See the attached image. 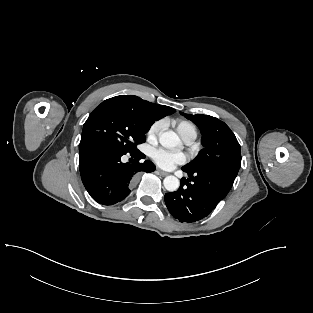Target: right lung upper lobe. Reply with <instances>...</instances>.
<instances>
[{
    "mask_svg": "<svg viewBox=\"0 0 313 313\" xmlns=\"http://www.w3.org/2000/svg\"><path fill=\"white\" fill-rule=\"evenodd\" d=\"M113 98L128 101L132 103L133 105L139 107L154 122L167 115L173 114L176 111L175 109L171 107L150 103L146 100H142L140 97H137V96L121 95V96H116Z\"/></svg>",
    "mask_w": 313,
    "mask_h": 313,
    "instance_id": "cb5924a9",
    "label": "right lung upper lobe"
}]
</instances>
